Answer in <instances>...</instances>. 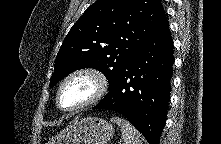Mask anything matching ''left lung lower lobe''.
<instances>
[{
	"instance_id": "1",
	"label": "left lung lower lobe",
	"mask_w": 221,
	"mask_h": 144,
	"mask_svg": "<svg viewBox=\"0 0 221 144\" xmlns=\"http://www.w3.org/2000/svg\"><path fill=\"white\" fill-rule=\"evenodd\" d=\"M173 63V41L165 17L93 109L124 115L149 144H159L170 100Z\"/></svg>"
}]
</instances>
